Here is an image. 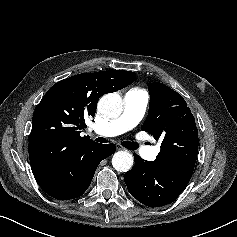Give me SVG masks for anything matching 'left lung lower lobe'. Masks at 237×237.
Segmentation results:
<instances>
[{
  "label": "left lung lower lobe",
  "instance_id": "left-lung-lower-lobe-1",
  "mask_svg": "<svg viewBox=\"0 0 237 237\" xmlns=\"http://www.w3.org/2000/svg\"><path fill=\"white\" fill-rule=\"evenodd\" d=\"M135 165L125 173L129 193L149 207L173 202L187 186L193 170L173 168L159 161H144L134 154Z\"/></svg>",
  "mask_w": 237,
  "mask_h": 237
}]
</instances>
